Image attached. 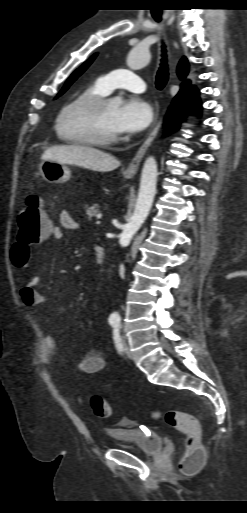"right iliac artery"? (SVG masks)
I'll use <instances>...</instances> for the list:
<instances>
[{
	"instance_id": "right-iliac-artery-1",
	"label": "right iliac artery",
	"mask_w": 247,
	"mask_h": 513,
	"mask_svg": "<svg viewBox=\"0 0 247 513\" xmlns=\"http://www.w3.org/2000/svg\"><path fill=\"white\" fill-rule=\"evenodd\" d=\"M118 322L119 321L115 319L110 320L111 325H116Z\"/></svg>"
}]
</instances>
